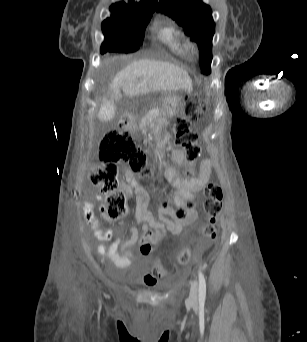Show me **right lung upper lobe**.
<instances>
[{
	"label": "right lung upper lobe",
	"instance_id": "obj_1",
	"mask_svg": "<svg viewBox=\"0 0 307 342\" xmlns=\"http://www.w3.org/2000/svg\"><path fill=\"white\" fill-rule=\"evenodd\" d=\"M156 6V0L112 4L111 17L103 21L102 31L104 34L143 35Z\"/></svg>",
	"mask_w": 307,
	"mask_h": 342
}]
</instances>
